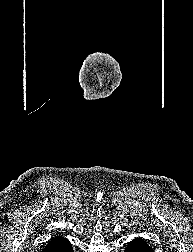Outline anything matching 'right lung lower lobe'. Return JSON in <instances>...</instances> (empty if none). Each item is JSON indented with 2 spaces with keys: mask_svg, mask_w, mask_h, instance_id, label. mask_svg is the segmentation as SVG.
<instances>
[{
  "mask_svg": "<svg viewBox=\"0 0 193 252\" xmlns=\"http://www.w3.org/2000/svg\"><path fill=\"white\" fill-rule=\"evenodd\" d=\"M42 252H73L70 242L62 237L52 239Z\"/></svg>",
  "mask_w": 193,
  "mask_h": 252,
  "instance_id": "obj_1",
  "label": "right lung lower lobe"
}]
</instances>
